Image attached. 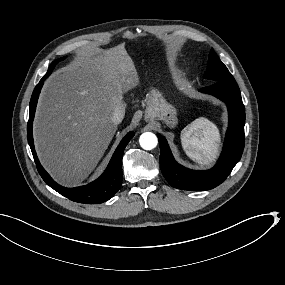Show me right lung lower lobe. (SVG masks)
Instances as JSON below:
<instances>
[{"mask_svg":"<svg viewBox=\"0 0 285 285\" xmlns=\"http://www.w3.org/2000/svg\"><path fill=\"white\" fill-rule=\"evenodd\" d=\"M45 79L42 78L40 80V83L35 87L33 91L29 106V121L27 124L28 143L30 145L34 157L37 170L47 185H49L52 189L72 201L86 204H99L105 202L110 199L119 190L121 186L123 177L122 156L126 145L132 139L134 133L130 132L123 138L116 151L114 152L113 157L110 163L108 164V167L98 179L88 185L75 188H65L60 186L50 177V175L41 166L34 149L32 136V124L35 109L41 88L43 86V80Z\"/></svg>","mask_w":285,"mask_h":285,"instance_id":"obj_1","label":"right lung lower lobe"}]
</instances>
